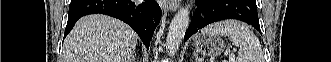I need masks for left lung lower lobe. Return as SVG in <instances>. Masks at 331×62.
<instances>
[{
	"label": "left lung lower lobe",
	"instance_id": "obj_1",
	"mask_svg": "<svg viewBox=\"0 0 331 62\" xmlns=\"http://www.w3.org/2000/svg\"><path fill=\"white\" fill-rule=\"evenodd\" d=\"M197 10L184 41L204 26L225 19H237L260 30L256 0H196Z\"/></svg>",
	"mask_w": 331,
	"mask_h": 62
}]
</instances>
